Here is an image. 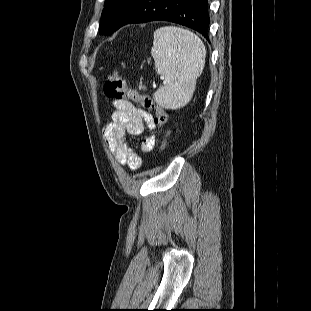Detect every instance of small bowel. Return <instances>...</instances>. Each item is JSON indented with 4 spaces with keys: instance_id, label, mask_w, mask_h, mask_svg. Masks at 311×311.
<instances>
[{
    "instance_id": "small-bowel-1",
    "label": "small bowel",
    "mask_w": 311,
    "mask_h": 311,
    "mask_svg": "<svg viewBox=\"0 0 311 311\" xmlns=\"http://www.w3.org/2000/svg\"><path fill=\"white\" fill-rule=\"evenodd\" d=\"M113 112L105 127V139L117 162L137 170L142 164L141 157L127 144V135H140L145 129L153 130L156 122L151 114L135 107L127 100H114ZM155 136L146 137L141 143L142 152H150L155 144Z\"/></svg>"
}]
</instances>
